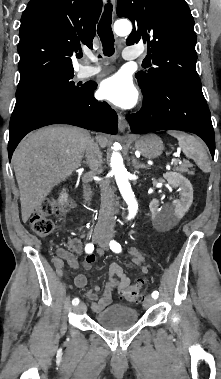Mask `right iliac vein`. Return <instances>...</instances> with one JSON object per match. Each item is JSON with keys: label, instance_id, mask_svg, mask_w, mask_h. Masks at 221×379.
<instances>
[{"label": "right iliac vein", "instance_id": "right-iliac-vein-1", "mask_svg": "<svg viewBox=\"0 0 221 379\" xmlns=\"http://www.w3.org/2000/svg\"><path fill=\"white\" fill-rule=\"evenodd\" d=\"M94 241L98 243H102L104 240L100 236H94ZM76 312L83 313L86 311V305L84 303H80L76 308Z\"/></svg>", "mask_w": 221, "mask_h": 379}]
</instances>
